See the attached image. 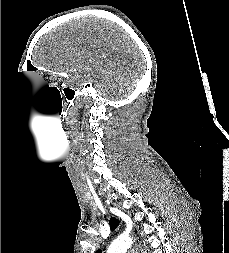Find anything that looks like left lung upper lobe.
<instances>
[{"mask_svg":"<svg viewBox=\"0 0 229 253\" xmlns=\"http://www.w3.org/2000/svg\"><path fill=\"white\" fill-rule=\"evenodd\" d=\"M118 224H119V221L116 218H114V217L110 218L111 230H115V228L118 226ZM95 253H102V250H97Z\"/></svg>","mask_w":229,"mask_h":253,"instance_id":"left-lung-upper-lobe-1","label":"left lung upper lobe"}]
</instances>
